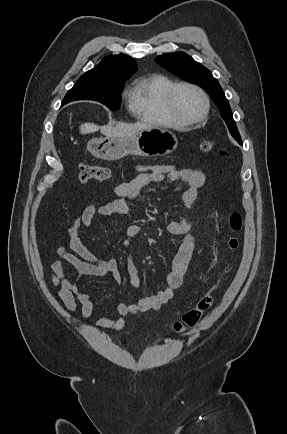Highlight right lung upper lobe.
Returning <instances> with one entry per match:
<instances>
[{
	"mask_svg": "<svg viewBox=\"0 0 287 434\" xmlns=\"http://www.w3.org/2000/svg\"><path fill=\"white\" fill-rule=\"evenodd\" d=\"M136 71V62L128 55H110L105 57L96 67L87 71L81 78L126 81Z\"/></svg>",
	"mask_w": 287,
	"mask_h": 434,
	"instance_id": "right-lung-upper-lobe-1",
	"label": "right lung upper lobe"
}]
</instances>
